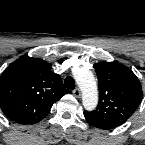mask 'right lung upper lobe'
I'll return each instance as SVG.
<instances>
[{"label": "right lung upper lobe", "mask_w": 145, "mask_h": 145, "mask_svg": "<svg viewBox=\"0 0 145 145\" xmlns=\"http://www.w3.org/2000/svg\"><path fill=\"white\" fill-rule=\"evenodd\" d=\"M70 93L51 64L23 56L9 65L0 76V108L11 120L34 124L48 115L52 105Z\"/></svg>", "instance_id": "right-lung-upper-lobe-1"}]
</instances>
